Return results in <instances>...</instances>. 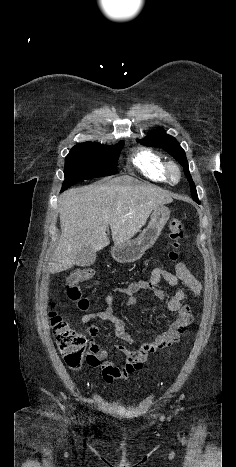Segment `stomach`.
<instances>
[{
  "mask_svg": "<svg viewBox=\"0 0 236 467\" xmlns=\"http://www.w3.org/2000/svg\"><path fill=\"white\" fill-rule=\"evenodd\" d=\"M168 207L160 205L151 214V220L141 234L122 244H115L111 249L114 260L120 263L134 262L140 259L146 250L151 248L158 239L163 227L170 218Z\"/></svg>",
  "mask_w": 236,
  "mask_h": 467,
  "instance_id": "obj_1",
  "label": "stomach"
}]
</instances>
